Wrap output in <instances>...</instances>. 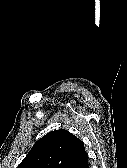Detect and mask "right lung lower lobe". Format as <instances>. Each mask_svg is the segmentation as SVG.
Here are the masks:
<instances>
[{"label": "right lung lower lobe", "mask_w": 127, "mask_h": 168, "mask_svg": "<svg viewBox=\"0 0 127 168\" xmlns=\"http://www.w3.org/2000/svg\"><path fill=\"white\" fill-rule=\"evenodd\" d=\"M78 168H89L88 161H85L84 163H82L81 165H79Z\"/></svg>", "instance_id": "1"}]
</instances>
